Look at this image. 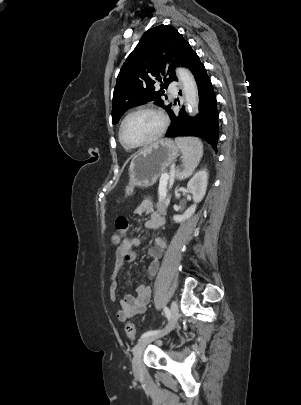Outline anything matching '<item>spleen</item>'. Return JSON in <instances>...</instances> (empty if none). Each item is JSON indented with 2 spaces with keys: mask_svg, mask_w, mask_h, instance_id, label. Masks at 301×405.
I'll return each mask as SVG.
<instances>
[{
  "mask_svg": "<svg viewBox=\"0 0 301 405\" xmlns=\"http://www.w3.org/2000/svg\"><path fill=\"white\" fill-rule=\"evenodd\" d=\"M184 157V170L177 175L183 180L193 174L203 156V144L195 137H179L175 139Z\"/></svg>",
  "mask_w": 301,
  "mask_h": 405,
  "instance_id": "3e777b00",
  "label": "spleen"
}]
</instances>
